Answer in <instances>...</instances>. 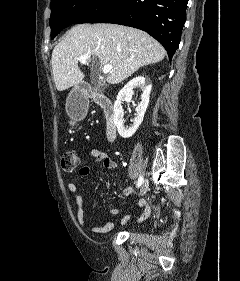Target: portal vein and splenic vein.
Returning a JSON list of instances; mask_svg holds the SVG:
<instances>
[{
  "label": "portal vein and splenic vein",
  "instance_id": "18ae733b",
  "mask_svg": "<svg viewBox=\"0 0 240 281\" xmlns=\"http://www.w3.org/2000/svg\"><path fill=\"white\" fill-rule=\"evenodd\" d=\"M90 58V56L88 55H81L79 57V61L82 63V64H86L88 62V59ZM112 66L111 65H105L102 69L103 73L107 74V73H110L111 70H112Z\"/></svg>",
  "mask_w": 240,
  "mask_h": 281
}]
</instances>
